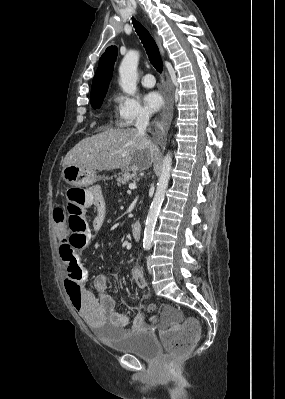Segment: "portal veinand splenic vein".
<instances>
[{
  "label": "portal vein and splenic vein",
  "mask_w": 285,
  "mask_h": 399,
  "mask_svg": "<svg viewBox=\"0 0 285 399\" xmlns=\"http://www.w3.org/2000/svg\"><path fill=\"white\" fill-rule=\"evenodd\" d=\"M129 188L132 189V190L136 189L137 188L136 183H130L129 184Z\"/></svg>",
  "instance_id": "1"
}]
</instances>
